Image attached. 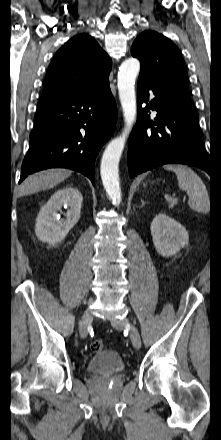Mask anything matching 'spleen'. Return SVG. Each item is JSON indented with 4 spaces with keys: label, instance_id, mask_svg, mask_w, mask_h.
<instances>
[{
    "label": "spleen",
    "instance_id": "1",
    "mask_svg": "<svg viewBox=\"0 0 221 440\" xmlns=\"http://www.w3.org/2000/svg\"><path fill=\"white\" fill-rule=\"evenodd\" d=\"M163 168L176 174L178 186L188 194V204L192 210L204 214L210 211V199L206 186L197 173L185 165L168 164Z\"/></svg>",
    "mask_w": 221,
    "mask_h": 440
}]
</instances>
